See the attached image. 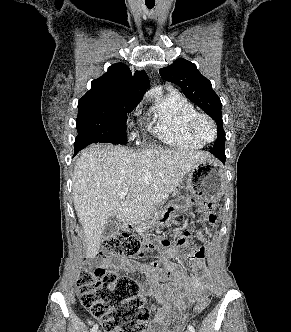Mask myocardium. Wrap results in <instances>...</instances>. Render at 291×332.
Returning <instances> with one entry per match:
<instances>
[{"instance_id": "myocardium-1", "label": "myocardium", "mask_w": 291, "mask_h": 332, "mask_svg": "<svg viewBox=\"0 0 291 332\" xmlns=\"http://www.w3.org/2000/svg\"><path fill=\"white\" fill-rule=\"evenodd\" d=\"M201 120H205L207 121L212 129H213V137L211 140H205L203 139L199 133H198V124ZM188 131L191 134V136L197 140L198 142L202 143V144H209L212 143L213 141H215L216 137H217V127L216 124L214 122V120L212 119V117H210L208 114L203 113V112H196L195 114H193L188 121Z\"/></svg>"}]
</instances>
